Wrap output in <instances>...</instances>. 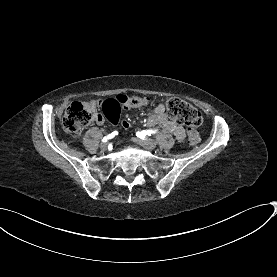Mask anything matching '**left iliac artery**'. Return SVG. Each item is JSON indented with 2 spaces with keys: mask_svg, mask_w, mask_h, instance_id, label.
<instances>
[{
  "mask_svg": "<svg viewBox=\"0 0 277 277\" xmlns=\"http://www.w3.org/2000/svg\"><path fill=\"white\" fill-rule=\"evenodd\" d=\"M158 130H143L136 133V136L141 139L147 138V136H151L152 134L157 133Z\"/></svg>",
  "mask_w": 277,
  "mask_h": 277,
  "instance_id": "obj_1",
  "label": "left iliac artery"
}]
</instances>
